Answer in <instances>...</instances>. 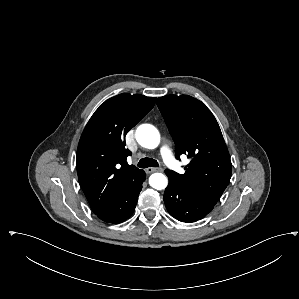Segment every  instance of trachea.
<instances>
[{"label": "trachea", "instance_id": "3493384b", "mask_svg": "<svg viewBox=\"0 0 299 299\" xmlns=\"http://www.w3.org/2000/svg\"><path fill=\"white\" fill-rule=\"evenodd\" d=\"M158 166H159L158 162L153 158L145 157L138 162V167L140 168L158 167Z\"/></svg>", "mask_w": 299, "mask_h": 299}]
</instances>
